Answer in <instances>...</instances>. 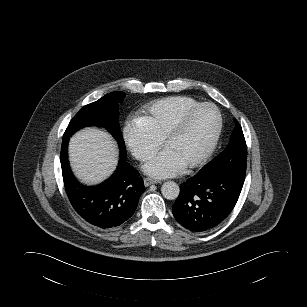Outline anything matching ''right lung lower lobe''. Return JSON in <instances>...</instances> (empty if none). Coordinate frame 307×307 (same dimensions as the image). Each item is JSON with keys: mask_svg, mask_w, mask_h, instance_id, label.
Masks as SVG:
<instances>
[{"mask_svg": "<svg viewBox=\"0 0 307 307\" xmlns=\"http://www.w3.org/2000/svg\"><path fill=\"white\" fill-rule=\"evenodd\" d=\"M69 137H63L61 167L65 190L77 213L90 224L102 229L117 227L135 212L145 191L143 179L120 156L114 174L97 186H84L73 176L67 160Z\"/></svg>", "mask_w": 307, "mask_h": 307, "instance_id": "right-lung-lower-lobe-1", "label": "right lung lower lobe"}]
</instances>
